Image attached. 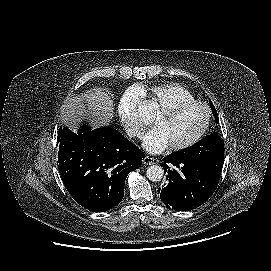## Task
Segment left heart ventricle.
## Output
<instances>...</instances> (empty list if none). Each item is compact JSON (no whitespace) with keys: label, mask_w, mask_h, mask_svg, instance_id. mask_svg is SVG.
Masks as SVG:
<instances>
[{"label":"left heart ventricle","mask_w":271,"mask_h":271,"mask_svg":"<svg viewBox=\"0 0 271 271\" xmlns=\"http://www.w3.org/2000/svg\"><path fill=\"white\" fill-rule=\"evenodd\" d=\"M206 117V111L202 107L193 106L173 116H162L157 113L153 123L162 129L171 146L193 138L204 126Z\"/></svg>","instance_id":"obj_1"}]
</instances>
